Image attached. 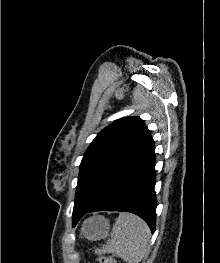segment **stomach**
I'll return each instance as SVG.
<instances>
[{
  "instance_id": "0dacf381",
  "label": "stomach",
  "mask_w": 220,
  "mask_h": 263,
  "mask_svg": "<svg viewBox=\"0 0 220 263\" xmlns=\"http://www.w3.org/2000/svg\"><path fill=\"white\" fill-rule=\"evenodd\" d=\"M109 222L103 216H93L84 221L81 235L91 241L103 239L109 232Z\"/></svg>"
}]
</instances>
